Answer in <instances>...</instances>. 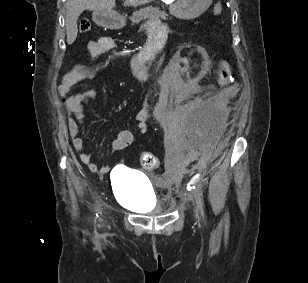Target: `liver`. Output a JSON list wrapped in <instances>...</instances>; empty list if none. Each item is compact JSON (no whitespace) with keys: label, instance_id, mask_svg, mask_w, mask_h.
<instances>
[{"label":"liver","instance_id":"1","mask_svg":"<svg viewBox=\"0 0 308 283\" xmlns=\"http://www.w3.org/2000/svg\"><path fill=\"white\" fill-rule=\"evenodd\" d=\"M152 0H124L125 6L144 5ZM115 0H67L66 41L71 45L78 33L77 20L84 10L111 13Z\"/></svg>","mask_w":308,"mask_h":283}]
</instances>
